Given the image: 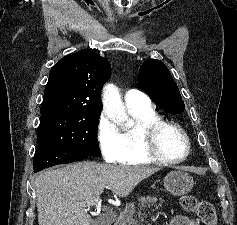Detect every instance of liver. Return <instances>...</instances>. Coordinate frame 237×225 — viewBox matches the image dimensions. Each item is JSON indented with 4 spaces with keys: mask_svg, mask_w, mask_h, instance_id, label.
<instances>
[{
    "mask_svg": "<svg viewBox=\"0 0 237 225\" xmlns=\"http://www.w3.org/2000/svg\"><path fill=\"white\" fill-rule=\"evenodd\" d=\"M159 168L115 166L95 161L68 164L36 177L39 225H96L82 204L102 194L104 188L128 196Z\"/></svg>",
    "mask_w": 237,
    "mask_h": 225,
    "instance_id": "6515ba94",
    "label": "liver"
}]
</instances>
